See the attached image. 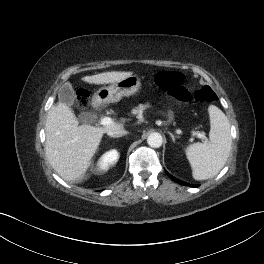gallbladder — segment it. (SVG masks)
Returning <instances> with one entry per match:
<instances>
[{
	"mask_svg": "<svg viewBox=\"0 0 264 264\" xmlns=\"http://www.w3.org/2000/svg\"><path fill=\"white\" fill-rule=\"evenodd\" d=\"M59 102L71 106L74 104V90L69 83L63 84L58 91ZM94 120V115L91 112H82L79 115V121L83 124H89Z\"/></svg>",
	"mask_w": 264,
	"mask_h": 264,
	"instance_id": "gallbladder-1",
	"label": "gallbladder"
}]
</instances>
